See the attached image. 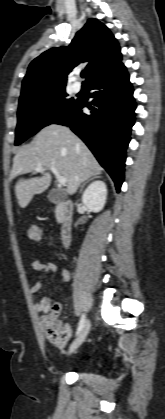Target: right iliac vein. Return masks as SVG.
Here are the masks:
<instances>
[{
	"mask_svg": "<svg viewBox=\"0 0 165 419\" xmlns=\"http://www.w3.org/2000/svg\"><path fill=\"white\" fill-rule=\"evenodd\" d=\"M90 327H91L90 321L87 320L84 323V326H83L82 330L80 331V333L78 334L77 338L71 344V346L69 348V353H73L85 341V339L88 336V333L90 331Z\"/></svg>",
	"mask_w": 165,
	"mask_h": 419,
	"instance_id": "1",
	"label": "right iliac vein"
}]
</instances>
